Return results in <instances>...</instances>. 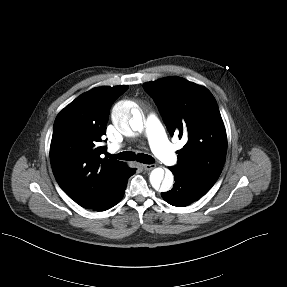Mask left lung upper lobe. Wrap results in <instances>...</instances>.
Instances as JSON below:
<instances>
[{
  "instance_id": "5c2ea615",
  "label": "left lung upper lobe",
  "mask_w": 287,
  "mask_h": 287,
  "mask_svg": "<svg viewBox=\"0 0 287 287\" xmlns=\"http://www.w3.org/2000/svg\"><path fill=\"white\" fill-rule=\"evenodd\" d=\"M143 87L157 103L169 133L188 136L177 151V165L170 168L187 173L210 190L227 152L226 130L215 98L205 87L180 77L147 82Z\"/></svg>"
}]
</instances>
